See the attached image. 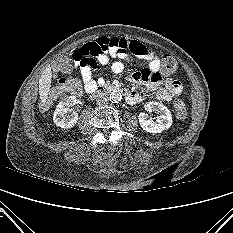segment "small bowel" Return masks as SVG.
Returning a JSON list of instances; mask_svg holds the SVG:
<instances>
[{"mask_svg": "<svg viewBox=\"0 0 233 233\" xmlns=\"http://www.w3.org/2000/svg\"><path fill=\"white\" fill-rule=\"evenodd\" d=\"M132 53L147 62L141 71L129 74L128 79L134 83L143 84L156 91V97L169 101L182 91V85L175 79H163L161 74V61L156 53L144 44L119 37H101L93 42L85 43L76 48L72 54L75 69L80 72L84 88L91 93L97 86L103 84V79H94L93 73L97 69V62L107 66L113 73L124 71L125 65L132 62ZM130 103H138L144 99L140 91H132Z\"/></svg>", "mask_w": 233, "mask_h": 233, "instance_id": "obj_1", "label": "small bowel"}]
</instances>
